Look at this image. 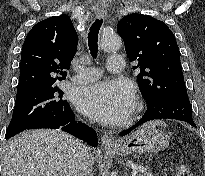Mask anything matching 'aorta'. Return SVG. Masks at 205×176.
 <instances>
[{"label": "aorta", "mask_w": 205, "mask_h": 176, "mask_svg": "<svg viewBox=\"0 0 205 176\" xmlns=\"http://www.w3.org/2000/svg\"><path fill=\"white\" fill-rule=\"evenodd\" d=\"M122 40L116 35H108L105 36L101 41V49L106 52L116 51L121 47Z\"/></svg>", "instance_id": "762f6f07"}]
</instances>
